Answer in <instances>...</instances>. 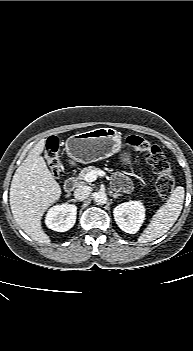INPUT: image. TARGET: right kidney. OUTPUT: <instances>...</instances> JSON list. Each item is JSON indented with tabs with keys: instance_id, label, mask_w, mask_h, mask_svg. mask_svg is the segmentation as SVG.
<instances>
[{
	"instance_id": "ca27d5eb",
	"label": "right kidney",
	"mask_w": 193,
	"mask_h": 351,
	"mask_svg": "<svg viewBox=\"0 0 193 351\" xmlns=\"http://www.w3.org/2000/svg\"><path fill=\"white\" fill-rule=\"evenodd\" d=\"M77 207L71 204H61L51 207L45 218L49 229L65 232L71 229L76 222Z\"/></svg>"
}]
</instances>
